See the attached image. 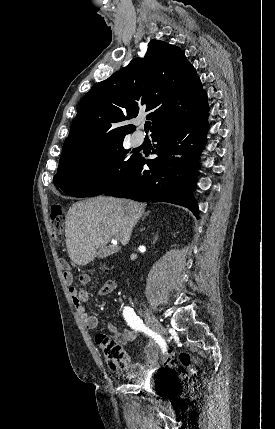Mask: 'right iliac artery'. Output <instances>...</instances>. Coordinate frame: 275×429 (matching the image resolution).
Returning <instances> with one entry per match:
<instances>
[{"label": "right iliac artery", "instance_id": "right-iliac-artery-1", "mask_svg": "<svg viewBox=\"0 0 275 429\" xmlns=\"http://www.w3.org/2000/svg\"><path fill=\"white\" fill-rule=\"evenodd\" d=\"M123 316L132 329L144 332L156 340L163 352L166 350L165 340L158 333L146 327L142 319L135 314L132 308L126 306L123 310Z\"/></svg>", "mask_w": 275, "mask_h": 429}]
</instances>
